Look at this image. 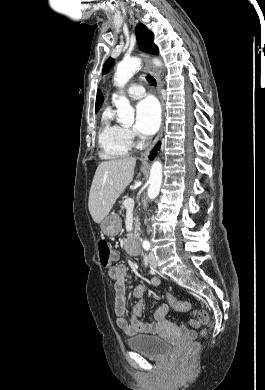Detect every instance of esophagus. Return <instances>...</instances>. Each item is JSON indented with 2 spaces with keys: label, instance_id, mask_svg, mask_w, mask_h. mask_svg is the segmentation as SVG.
Wrapping results in <instances>:
<instances>
[{
  "label": "esophagus",
  "instance_id": "34e87169",
  "mask_svg": "<svg viewBox=\"0 0 265 390\" xmlns=\"http://www.w3.org/2000/svg\"><path fill=\"white\" fill-rule=\"evenodd\" d=\"M143 57L145 59V65L147 67V69L151 72V74L154 76V78L156 79V82H157V90H158V94H159V98H160V101H161V104H162V108L164 110V101H163V98H162V95H161V80H160V76H159V73L157 72V70L155 69V67L152 65V62L150 60V57L149 55L147 54H143ZM163 129H164V126L162 125L161 129H160V132L158 134V137L157 139H159L162 134H163ZM149 150L150 149H147L143 154H142V159L143 160H146L147 157H148V154H149Z\"/></svg>",
  "mask_w": 265,
  "mask_h": 390
}]
</instances>
